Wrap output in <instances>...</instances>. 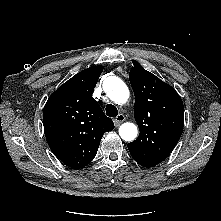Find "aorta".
Returning a JSON list of instances; mask_svg holds the SVG:
<instances>
[{
  "label": "aorta",
  "mask_w": 221,
  "mask_h": 221,
  "mask_svg": "<svg viewBox=\"0 0 221 221\" xmlns=\"http://www.w3.org/2000/svg\"><path fill=\"white\" fill-rule=\"evenodd\" d=\"M107 96L116 104L125 103L130 95L127 85L116 76L108 77L103 83ZM138 129L133 123H124L119 127V135L125 141H133L137 137Z\"/></svg>",
  "instance_id": "1"
}]
</instances>
